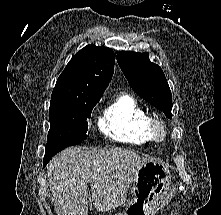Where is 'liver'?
Wrapping results in <instances>:
<instances>
[{
    "label": "liver",
    "mask_w": 221,
    "mask_h": 215,
    "mask_svg": "<svg viewBox=\"0 0 221 215\" xmlns=\"http://www.w3.org/2000/svg\"><path fill=\"white\" fill-rule=\"evenodd\" d=\"M149 161L121 148L63 150L47 166L50 191L59 213L88 215V185L97 211L119 207L126 200L134 174Z\"/></svg>",
    "instance_id": "obj_1"
}]
</instances>
